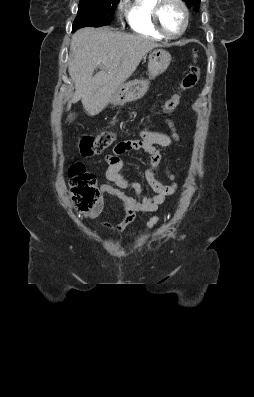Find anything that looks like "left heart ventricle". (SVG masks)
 Returning <instances> with one entry per match:
<instances>
[{
	"label": "left heart ventricle",
	"mask_w": 254,
	"mask_h": 397,
	"mask_svg": "<svg viewBox=\"0 0 254 397\" xmlns=\"http://www.w3.org/2000/svg\"><path fill=\"white\" fill-rule=\"evenodd\" d=\"M161 23L169 34H177L183 25V12L174 2H167L161 11Z\"/></svg>",
	"instance_id": "b2bd125f"
}]
</instances>
